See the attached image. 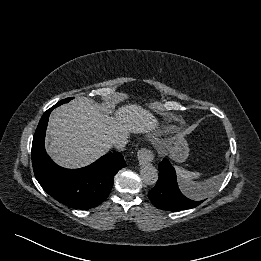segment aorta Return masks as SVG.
<instances>
[{
    "label": "aorta",
    "instance_id": "1",
    "mask_svg": "<svg viewBox=\"0 0 261 261\" xmlns=\"http://www.w3.org/2000/svg\"><path fill=\"white\" fill-rule=\"evenodd\" d=\"M143 182L147 185H154L158 180V171L152 164H145L140 169Z\"/></svg>",
    "mask_w": 261,
    "mask_h": 261
}]
</instances>
